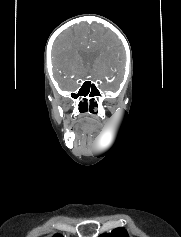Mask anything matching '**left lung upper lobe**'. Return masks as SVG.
Segmentation results:
<instances>
[{"mask_svg": "<svg viewBox=\"0 0 181 237\" xmlns=\"http://www.w3.org/2000/svg\"><path fill=\"white\" fill-rule=\"evenodd\" d=\"M99 237H129L124 228H116L111 233H104Z\"/></svg>", "mask_w": 181, "mask_h": 237, "instance_id": "obj_1", "label": "left lung upper lobe"}]
</instances>
